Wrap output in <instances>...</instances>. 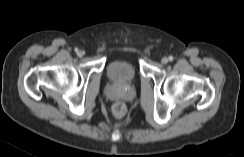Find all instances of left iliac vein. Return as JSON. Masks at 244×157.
I'll list each match as a JSON object with an SVG mask.
<instances>
[{
	"label": "left iliac vein",
	"instance_id": "obj_1",
	"mask_svg": "<svg viewBox=\"0 0 244 157\" xmlns=\"http://www.w3.org/2000/svg\"><path fill=\"white\" fill-rule=\"evenodd\" d=\"M161 62H162V64H166V63L168 62V58L163 57V58L161 59Z\"/></svg>",
	"mask_w": 244,
	"mask_h": 157
}]
</instances>
